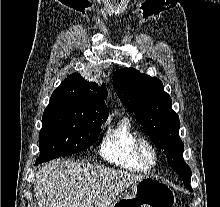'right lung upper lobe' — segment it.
Returning a JSON list of instances; mask_svg holds the SVG:
<instances>
[{"instance_id":"obj_1","label":"right lung upper lobe","mask_w":220,"mask_h":207,"mask_svg":"<svg viewBox=\"0 0 220 207\" xmlns=\"http://www.w3.org/2000/svg\"><path fill=\"white\" fill-rule=\"evenodd\" d=\"M51 97L68 98L79 102L83 108L89 109L107 119L108 110L104 100L107 89L104 84L82 78L80 74L69 75L53 92Z\"/></svg>"}]
</instances>
